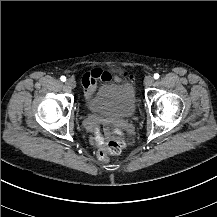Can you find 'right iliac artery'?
Returning <instances> with one entry per match:
<instances>
[{
    "label": "right iliac artery",
    "instance_id": "right-iliac-artery-1",
    "mask_svg": "<svg viewBox=\"0 0 217 217\" xmlns=\"http://www.w3.org/2000/svg\"><path fill=\"white\" fill-rule=\"evenodd\" d=\"M60 80L63 81V82H65L66 81V77L65 76H61Z\"/></svg>",
    "mask_w": 217,
    "mask_h": 217
}]
</instances>
